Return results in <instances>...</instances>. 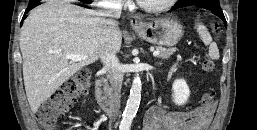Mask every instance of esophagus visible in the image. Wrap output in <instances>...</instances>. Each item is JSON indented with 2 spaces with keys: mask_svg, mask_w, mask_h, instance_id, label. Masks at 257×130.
<instances>
[{
  "mask_svg": "<svg viewBox=\"0 0 257 130\" xmlns=\"http://www.w3.org/2000/svg\"><path fill=\"white\" fill-rule=\"evenodd\" d=\"M143 25H144V22L140 17H133L130 21V26L133 29L141 28L143 27Z\"/></svg>",
  "mask_w": 257,
  "mask_h": 130,
  "instance_id": "obj_1",
  "label": "esophagus"
}]
</instances>
